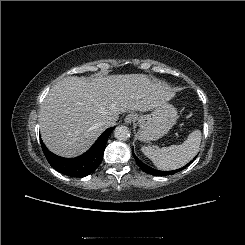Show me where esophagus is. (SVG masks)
Masks as SVG:
<instances>
[{"label":"esophagus","instance_id":"34e87169","mask_svg":"<svg viewBox=\"0 0 245 245\" xmlns=\"http://www.w3.org/2000/svg\"><path fill=\"white\" fill-rule=\"evenodd\" d=\"M137 119V115L135 113H129L126 115L124 122L126 124H131L132 122H134Z\"/></svg>","mask_w":245,"mask_h":245}]
</instances>
